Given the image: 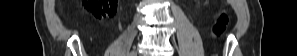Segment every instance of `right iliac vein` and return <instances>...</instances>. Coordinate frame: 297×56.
<instances>
[{
    "label": "right iliac vein",
    "mask_w": 297,
    "mask_h": 56,
    "mask_svg": "<svg viewBox=\"0 0 297 56\" xmlns=\"http://www.w3.org/2000/svg\"><path fill=\"white\" fill-rule=\"evenodd\" d=\"M129 56H137V50H136V49H133V50L130 52Z\"/></svg>",
    "instance_id": "1"
}]
</instances>
